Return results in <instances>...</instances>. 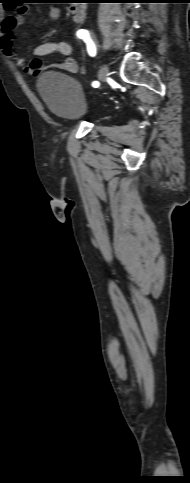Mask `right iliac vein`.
<instances>
[{"label":"right iliac vein","instance_id":"1","mask_svg":"<svg viewBox=\"0 0 190 483\" xmlns=\"http://www.w3.org/2000/svg\"><path fill=\"white\" fill-rule=\"evenodd\" d=\"M107 75H108V66L106 64H104L100 71H99V74H98V79L101 81V82H104L107 78Z\"/></svg>","mask_w":190,"mask_h":483}]
</instances>
